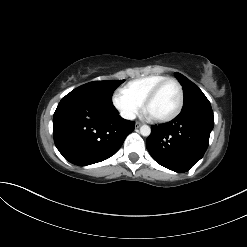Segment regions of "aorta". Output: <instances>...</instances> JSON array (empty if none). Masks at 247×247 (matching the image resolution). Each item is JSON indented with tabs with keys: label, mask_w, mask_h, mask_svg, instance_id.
Wrapping results in <instances>:
<instances>
[{
	"label": "aorta",
	"mask_w": 247,
	"mask_h": 247,
	"mask_svg": "<svg viewBox=\"0 0 247 247\" xmlns=\"http://www.w3.org/2000/svg\"><path fill=\"white\" fill-rule=\"evenodd\" d=\"M140 133L142 136H149L151 134V128L148 125H142L140 127Z\"/></svg>",
	"instance_id": "obj_1"
}]
</instances>
